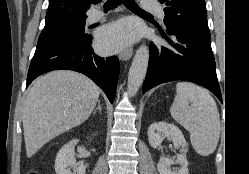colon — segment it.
I'll list each match as a JSON object with an SVG mask.
<instances>
[{"label": "colon", "instance_id": "obj_1", "mask_svg": "<svg viewBox=\"0 0 249 174\" xmlns=\"http://www.w3.org/2000/svg\"><path fill=\"white\" fill-rule=\"evenodd\" d=\"M30 174H36L34 171H30Z\"/></svg>", "mask_w": 249, "mask_h": 174}]
</instances>
